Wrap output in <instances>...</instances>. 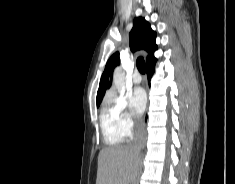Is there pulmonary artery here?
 Here are the masks:
<instances>
[{"instance_id":"e3ab8cb5","label":"pulmonary artery","mask_w":235,"mask_h":184,"mask_svg":"<svg viewBox=\"0 0 235 184\" xmlns=\"http://www.w3.org/2000/svg\"><path fill=\"white\" fill-rule=\"evenodd\" d=\"M131 80L134 84H140L142 82V76L139 72L135 71L131 76Z\"/></svg>"}]
</instances>
